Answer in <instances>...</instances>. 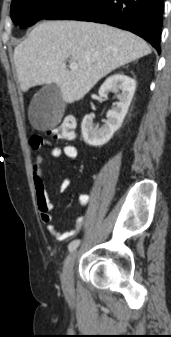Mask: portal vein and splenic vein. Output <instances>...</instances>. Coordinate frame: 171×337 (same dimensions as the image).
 Here are the masks:
<instances>
[{"label": "portal vein and splenic vein", "mask_w": 171, "mask_h": 337, "mask_svg": "<svg viewBox=\"0 0 171 337\" xmlns=\"http://www.w3.org/2000/svg\"><path fill=\"white\" fill-rule=\"evenodd\" d=\"M70 69L75 70L78 68V64L75 61L70 62L69 64Z\"/></svg>", "instance_id": "portal-vein-and-splenic-vein-1"}]
</instances>
